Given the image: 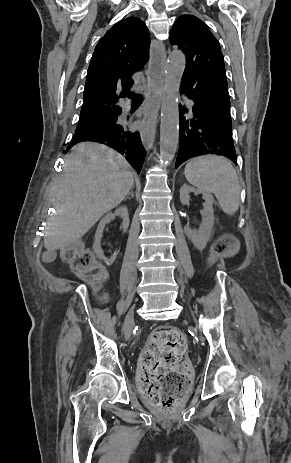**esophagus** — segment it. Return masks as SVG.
<instances>
[{"label": "esophagus", "mask_w": 291, "mask_h": 463, "mask_svg": "<svg viewBox=\"0 0 291 463\" xmlns=\"http://www.w3.org/2000/svg\"><path fill=\"white\" fill-rule=\"evenodd\" d=\"M166 62L165 46L162 42L153 40L151 42L150 55V96L149 108L145 116L147 127L140 131L141 140L146 149H151L155 140L156 128L158 124V114L164 90V65Z\"/></svg>", "instance_id": "esophagus-1"}]
</instances>
